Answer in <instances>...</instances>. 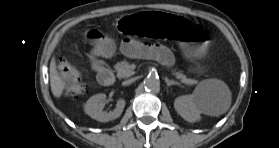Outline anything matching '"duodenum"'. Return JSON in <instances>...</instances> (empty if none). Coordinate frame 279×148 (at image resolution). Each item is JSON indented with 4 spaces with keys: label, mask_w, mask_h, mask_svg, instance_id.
<instances>
[{
    "label": "duodenum",
    "mask_w": 279,
    "mask_h": 148,
    "mask_svg": "<svg viewBox=\"0 0 279 148\" xmlns=\"http://www.w3.org/2000/svg\"><path fill=\"white\" fill-rule=\"evenodd\" d=\"M93 67L97 71L99 79L102 83L106 85H112L114 83V77L111 71L105 68L100 61H94Z\"/></svg>",
    "instance_id": "obj_1"
}]
</instances>
